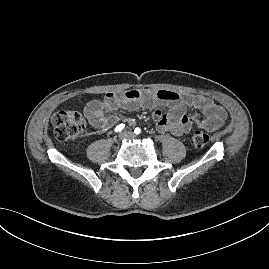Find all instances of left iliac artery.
Here are the masks:
<instances>
[{"mask_svg":"<svg viewBox=\"0 0 269 269\" xmlns=\"http://www.w3.org/2000/svg\"><path fill=\"white\" fill-rule=\"evenodd\" d=\"M134 133L139 135L141 133V129L139 127L135 128Z\"/></svg>","mask_w":269,"mask_h":269,"instance_id":"44dca946","label":"left iliac artery"}]
</instances>
